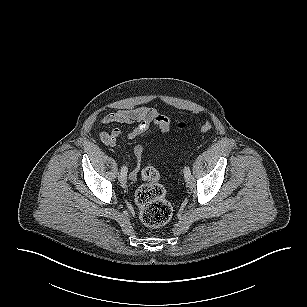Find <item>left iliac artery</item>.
<instances>
[{
	"label": "left iliac artery",
	"mask_w": 307,
	"mask_h": 307,
	"mask_svg": "<svg viewBox=\"0 0 307 307\" xmlns=\"http://www.w3.org/2000/svg\"><path fill=\"white\" fill-rule=\"evenodd\" d=\"M190 173L189 167L184 168V176L188 175Z\"/></svg>",
	"instance_id": "44dca946"
}]
</instances>
